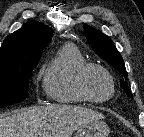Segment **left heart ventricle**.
Segmentation results:
<instances>
[{"mask_svg":"<svg viewBox=\"0 0 144 137\" xmlns=\"http://www.w3.org/2000/svg\"><path fill=\"white\" fill-rule=\"evenodd\" d=\"M87 86L90 93L97 98H104L111 93L109 80L99 71H91L87 78Z\"/></svg>","mask_w":144,"mask_h":137,"instance_id":"b2bd125f","label":"left heart ventricle"}]
</instances>
